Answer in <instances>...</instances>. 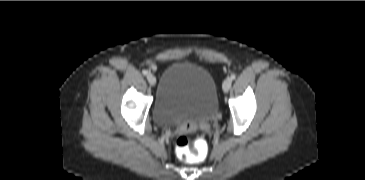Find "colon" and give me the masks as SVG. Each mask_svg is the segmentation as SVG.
Wrapping results in <instances>:
<instances>
[{
    "label": "colon",
    "instance_id": "5ec220e1",
    "mask_svg": "<svg viewBox=\"0 0 365 180\" xmlns=\"http://www.w3.org/2000/svg\"><path fill=\"white\" fill-rule=\"evenodd\" d=\"M175 151L187 163H202L207 159L209 147L201 138L191 142L187 134H181L175 141Z\"/></svg>",
    "mask_w": 365,
    "mask_h": 180
}]
</instances>
